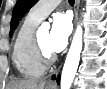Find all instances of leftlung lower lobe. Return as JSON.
<instances>
[{
	"label": "left lung lower lobe",
	"mask_w": 107,
	"mask_h": 89,
	"mask_svg": "<svg viewBox=\"0 0 107 89\" xmlns=\"http://www.w3.org/2000/svg\"><path fill=\"white\" fill-rule=\"evenodd\" d=\"M53 79H56L57 83L59 84L60 82V76L58 75L57 78H55V76L52 77Z\"/></svg>",
	"instance_id": "0a47b994"
}]
</instances>
